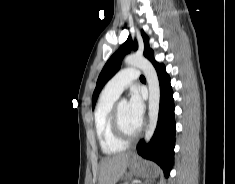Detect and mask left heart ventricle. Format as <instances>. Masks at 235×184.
<instances>
[{
    "label": "left heart ventricle",
    "instance_id": "1",
    "mask_svg": "<svg viewBox=\"0 0 235 184\" xmlns=\"http://www.w3.org/2000/svg\"><path fill=\"white\" fill-rule=\"evenodd\" d=\"M118 112L123 130L129 135H134L139 130L140 125L130 116L127 103H119Z\"/></svg>",
    "mask_w": 235,
    "mask_h": 184
}]
</instances>
